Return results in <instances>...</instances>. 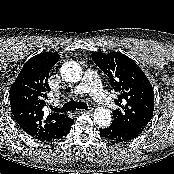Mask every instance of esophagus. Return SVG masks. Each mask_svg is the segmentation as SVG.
I'll return each mask as SVG.
<instances>
[{
  "instance_id": "obj_1",
  "label": "esophagus",
  "mask_w": 174,
  "mask_h": 174,
  "mask_svg": "<svg viewBox=\"0 0 174 174\" xmlns=\"http://www.w3.org/2000/svg\"><path fill=\"white\" fill-rule=\"evenodd\" d=\"M92 111H93L92 108L79 110L80 113H89V112H92Z\"/></svg>"
}]
</instances>
